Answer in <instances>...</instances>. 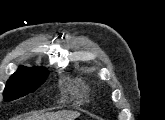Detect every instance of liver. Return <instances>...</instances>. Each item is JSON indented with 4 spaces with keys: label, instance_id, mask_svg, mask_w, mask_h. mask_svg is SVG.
<instances>
[{
    "label": "liver",
    "instance_id": "6515ba94",
    "mask_svg": "<svg viewBox=\"0 0 165 120\" xmlns=\"http://www.w3.org/2000/svg\"><path fill=\"white\" fill-rule=\"evenodd\" d=\"M79 115L80 114L78 112H74V111H61L41 117H29L26 120H73Z\"/></svg>",
    "mask_w": 165,
    "mask_h": 120
}]
</instances>
